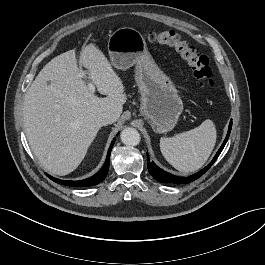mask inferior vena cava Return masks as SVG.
<instances>
[{
  "instance_id": "inferior-vena-cava-1",
  "label": "inferior vena cava",
  "mask_w": 265,
  "mask_h": 265,
  "mask_svg": "<svg viewBox=\"0 0 265 265\" xmlns=\"http://www.w3.org/2000/svg\"><path fill=\"white\" fill-rule=\"evenodd\" d=\"M95 121L100 126H106L114 122V117L111 114L104 112L97 115Z\"/></svg>"
}]
</instances>
